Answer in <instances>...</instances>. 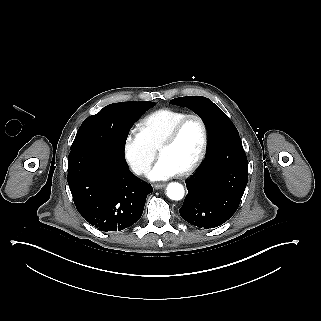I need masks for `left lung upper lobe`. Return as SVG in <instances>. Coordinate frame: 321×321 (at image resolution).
<instances>
[{"mask_svg":"<svg viewBox=\"0 0 321 321\" xmlns=\"http://www.w3.org/2000/svg\"><path fill=\"white\" fill-rule=\"evenodd\" d=\"M170 103L187 107L201 117L209 133L208 147L224 138L239 136L231 120L208 98L202 96L179 97L171 100Z\"/></svg>","mask_w":321,"mask_h":321,"instance_id":"1","label":"left lung upper lobe"}]
</instances>
